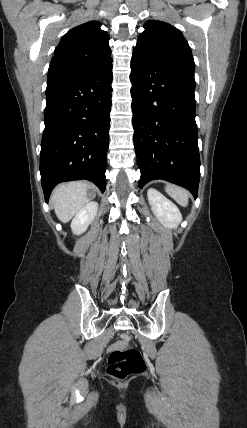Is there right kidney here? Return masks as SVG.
Here are the masks:
<instances>
[{
  "label": "right kidney",
  "mask_w": 247,
  "mask_h": 428,
  "mask_svg": "<svg viewBox=\"0 0 247 428\" xmlns=\"http://www.w3.org/2000/svg\"><path fill=\"white\" fill-rule=\"evenodd\" d=\"M98 203L89 202L78 211L71 222V229L74 234L80 235L85 232L97 214Z\"/></svg>",
  "instance_id": "1"
}]
</instances>
